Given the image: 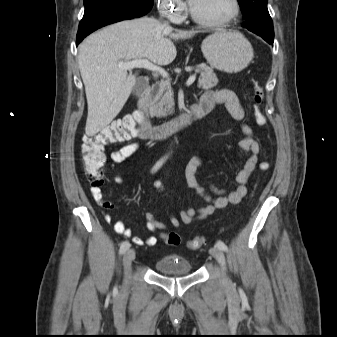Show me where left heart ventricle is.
Wrapping results in <instances>:
<instances>
[{
	"mask_svg": "<svg viewBox=\"0 0 337 337\" xmlns=\"http://www.w3.org/2000/svg\"><path fill=\"white\" fill-rule=\"evenodd\" d=\"M191 6L200 17L222 20L231 11V0H194Z\"/></svg>",
	"mask_w": 337,
	"mask_h": 337,
	"instance_id": "obj_1",
	"label": "left heart ventricle"
}]
</instances>
